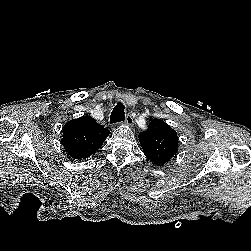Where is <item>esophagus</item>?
Returning a JSON list of instances; mask_svg holds the SVG:
<instances>
[{"mask_svg": "<svg viewBox=\"0 0 251 251\" xmlns=\"http://www.w3.org/2000/svg\"><path fill=\"white\" fill-rule=\"evenodd\" d=\"M125 123H126V125H128L130 127L134 126V120H133V117L130 114H128L126 116Z\"/></svg>", "mask_w": 251, "mask_h": 251, "instance_id": "obj_1", "label": "esophagus"}]
</instances>
